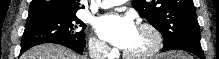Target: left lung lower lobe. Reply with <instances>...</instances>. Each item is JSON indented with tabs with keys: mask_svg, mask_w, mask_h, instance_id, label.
Wrapping results in <instances>:
<instances>
[{
	"mask_svg": "<svg viewBox=\"0 0 219 59\" xmlns=\"http://www.w3.org/2000/svg\"><path fill=\"white\" fill-rule=\"evenodd\" d=\"M171 50H184L196 55L200 59H205L200 44V36H186L162 48V52Z\"/></svg>",
	"mask_w": 219,
	"mask_h": 59,
	"instance_id": "0a47b994",
	"label": "left lung lower lobe"
}]
</instances>
